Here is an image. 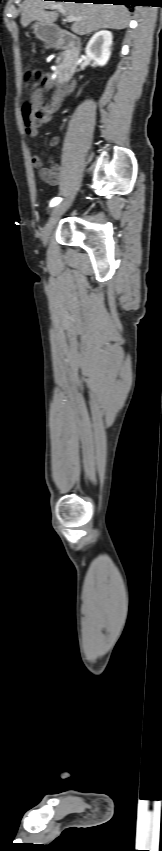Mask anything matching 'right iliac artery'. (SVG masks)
Returning <instances> with one entry per match:
<instances>
[{"label":"right iliac artery","instance_id":"82829eb1","mask_svg":"<svg viewBox=\"0 0 162 851\" xmlns=\"http://www.w3.org/2000/svg\"><path fill=\"white\" fill-rule=\"evenodd\" d=\"M61 200H62V199H61L60 197H55V198H53V199L51 200V202H50V206H51V207L56 206L57 204H59V203L61 202Z\"/></svg>","mask_w":162,"mask_h":851}]
</instances>
